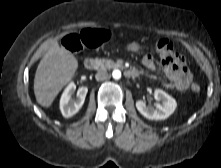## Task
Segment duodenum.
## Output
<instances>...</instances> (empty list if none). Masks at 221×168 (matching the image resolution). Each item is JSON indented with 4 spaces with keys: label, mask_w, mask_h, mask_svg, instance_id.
I'll return each mask as SVG.
<instances>
[{
    "label": "duodenum",
    "mask_w": 221,
    "mask_h": 168,
    "mask_svg": "<svg viewBox=\"0 0 221 168\" xmlns=\"http://www.w3.org/2000/svg\"><path fill=\"white\" fill-rule=\"evenodd\" d=\"M84 66L88 70H94L97 67V62L94 58L87 57L84 60ZM124 74L127 78H134L138 73L135 69H127L125 70Z\"/></svg>",
    "instance_id": "1"
}]
</instances>
